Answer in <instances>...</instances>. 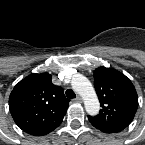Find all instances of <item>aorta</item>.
Wrapping results in <instances>:
<instances>
[{
    "mask_svg": "<svg viewBox=\"0 0 145 145\" xmlns=\"http://www.w3.org/2000/svg\"><path fill=\"white\" fill-rule=\"evenodd\" d=\"M72 88L84 100L85 110L89 115H96L100 110V103L91 82L82 74L74 75Z\"/></svg>",
    "mask_w": 145,
    "mask_h": 145,
    "instance_id": "obj_1",
    "label": "aorta"
}]
</instances>
